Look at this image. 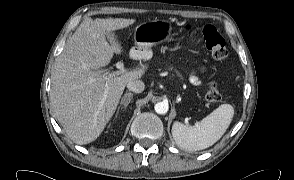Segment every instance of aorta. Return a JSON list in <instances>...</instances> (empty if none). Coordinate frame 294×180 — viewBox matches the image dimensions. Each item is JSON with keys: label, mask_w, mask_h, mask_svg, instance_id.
Segmentation results:
<instances>
[{"label": "aorta", "mask_w": 294, "mask_h": 180, "mask_svg": "<svg viewBox=\"0 0 294 180\" xmlns=\"http://www.w3.org/2000/svg\"><path fill=\"white\" fill-rule=\"evenodd\" d=\"M154 109L158 114H166L169 110V104L166 101L158 102L155 104Z\"/></svg>", "instance_id": "aorta-1"}]
</instances>
